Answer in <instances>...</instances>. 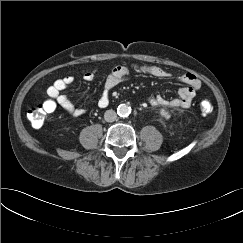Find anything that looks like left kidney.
Listing matches in <instances>:
<instances>
[{"label":"left kidney","instance_id":"1","mask_svg":"<svg viewBox=\"0 0 243 243\" xmlns=\"http://www.w3.org/2000/svg\"><path fill=\"white\" fill-rule=\"evenodd\" d=\"M160 114H161V116H163V117H165L167 119L170 118V115H169L168 111H166L165 109H161L160 110Z\"/></svg>","mask_w":243,"mask_h":243}]
</instances>
